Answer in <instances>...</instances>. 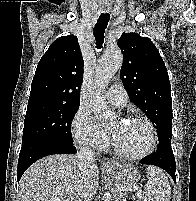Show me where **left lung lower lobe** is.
<instances>
[{
	"label": "left lung lower lobe",
	"instance_id": "obj_1",
	"mask_svg": "<svg viewBox=\"0 0 196 201\" xmlns=\"http://www.w3.org/2000/svg\"><path fill=\"white\" fill-rule=\"evenodd\" d=\"M142 164L158 166L167 171L175 181V158L171 148V139L159 141L155 154H151L141 160Z\"/></svg>",
	"mask_w": 196,
	"mask_h": 201
}]
</instances>
